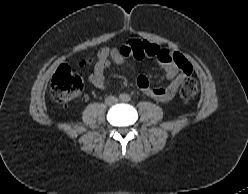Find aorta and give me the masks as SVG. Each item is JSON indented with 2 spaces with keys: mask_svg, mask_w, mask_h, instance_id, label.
<instances>
[{
  "mask_svg": "<svg viewBox=\"0 0 248 194\" xmlns=\"http://www.w3.org/2000/svg\"><path fill=\"white\" fill-rule=\"evenodd\" d=\"M121 100L122 101H128L129 100V96L124 94V95H121Z\"/></svg>",
  "mask_w": 248,
  "mask_h": 194,
  "instance_id": "762f6f07",
  "label": "aorta"
}]
</instances>
